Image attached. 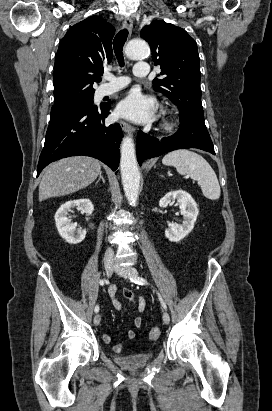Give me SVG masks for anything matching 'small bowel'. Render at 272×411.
<instances>
[{"mask_svg": "<svg viewBox=\"0 0 272 411\" xmlns=\"http://www.w3.org/2000/svg\"><path fill=\"white\" fill-rule=\"evenodd\" d=\"M110 296H111V300H112V304L114 306V308L117 311H121L123 309L121 302L116 298V288L114 286H112L110 288ZM121 294L124 298H126L127 300H129L130 302H132L135 305L136 308V316L134 318V326L136 328H140L142 325V313L145 310V299L143 296L141 295H136L133 291H131L128 288H124L121 291ZM135 337V331L133 329H130L126 332V339L127 340H132ZM111 340L110 336L106 335L104 336V341L106 343H109ZM113 350L115 353H122L124 350V344L123 343H118L113 347Z\"/></svg>", "mask_w": 272, "mask_h": 411, "instance_id": "c3829d8e", "label": "small bowel"}]
</instances>
